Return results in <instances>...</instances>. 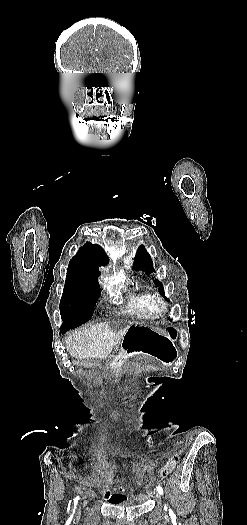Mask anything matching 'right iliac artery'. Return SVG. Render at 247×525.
Listing matches in <instances>:
<instances>
[{
  "label": "right iliac artery",
  "mask_w": 247,
  "mask_h": 525,
  "mask_svg": "<svg viewBox=\"0 0 247 525\" xmlns=\"http://www.w3.org/2000/svg\"><path fill=\"white\" fill-rule=\"evenodd\" d=\"M79 500V496H77L75 499H74V509H73V513L75 511V508H76V505H77V502Z\"/></svg>",
  "instance_id": "right-iliac-artery-1"
}]
</instances>
